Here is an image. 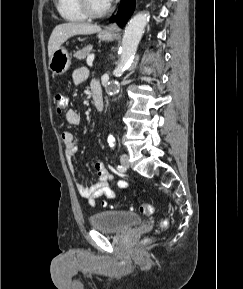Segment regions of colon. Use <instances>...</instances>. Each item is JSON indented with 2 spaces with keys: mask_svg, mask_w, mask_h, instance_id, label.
<instances>
[{
  "mask_svg": "<svg viewBox=\"0 0 243 289\" xmlns=\"http://www.w3.org/2000/svg\"><path fill=\"white\" fill-rule=\"evenodd\" d=\"M66 104H67L66 96L63 93L55 94V96H54V105H55L56 111L58 113H61L66 108ZM140 211L143 214L150 215V214L153 213V207L150 204H143V205L140 206ZM168 224H169L168 220H164L161 223V227L162 228H167ZM147 241H148L147 239L144 240V242H147Z\"/></svg>",
  "mask_w": 243,
  "mask_h": 289,
  "instance_id": "1",
  "label": "colon"
}]
</instances>
